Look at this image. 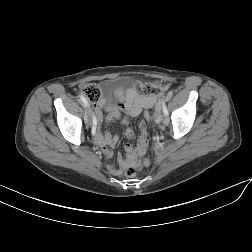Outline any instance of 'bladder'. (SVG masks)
<instances>
[{
  "instance_id": "obj_1",
  "label": "bladder",
  "mask_w": 252,
  "mask_h": 252,
  "mask_svg": "<svg viewBox=\"0 0 252 252\" xmlns=\"http://www.w3.org/2000/svg\"><path fill=\"white\" fill-rule=\"evenodd\" d=\"M127 81H128L127 78H118V79L108 80L106 84L108 87H121Z\"/></svg>"
}]
</instances>
